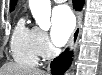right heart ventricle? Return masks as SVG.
<instances>
[{"label":"right heart ventricle","mask_w":102,"mask_h":75,"mask_svg":"<svg viewBox=\"0 0 102 75\" xmlns=\"http://www.w3.org/2000/svg\"><path fill=\"white\" fill-rule=\"evenodd\" d=\"M36 36V28L27 26L23 18L19 19L11 39V54L16 62L30 66L37 64Z\"/></svg>","instance_id":"1"}]
</instances>
